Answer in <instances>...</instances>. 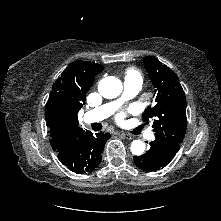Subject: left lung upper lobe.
Instances as JSON below:
<instances>
[{"label": "left lung upper lobe", "instance_id": "1", "mask_svg": "<svg viewBox=\"0 0 221 221\" xmlns=\"http://www.w3.org/2000/svg\"><path fill=\"white\" fill-rule=\"evenodd\" d=\"M145 66L156 88L155 104L142 115L143 121H153L155 138L181 144L186 130V99L174 71L153 56L145 57Z\"/></svg>", "mask_w": 221, "mask_h": 221}]
</instances>
